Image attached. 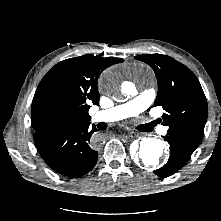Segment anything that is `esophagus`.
Wrapping results in <instances>:
<instances>
[{"mask_svg": "<svg viewBox=\"0 0 221 221\" xmlns=\"http://www.w3.org/2000/svg\"><path fill=\"white\" fill-rule=\"evenodd\" d=\"M126 137H133V136H135V135H137L135 132H133V131H127L126 132Z\"/></svg>", "mask_w": 221, "mask_h": 221, "instance_id": "obj_1", "label": "esophagus"}]
</instances>
